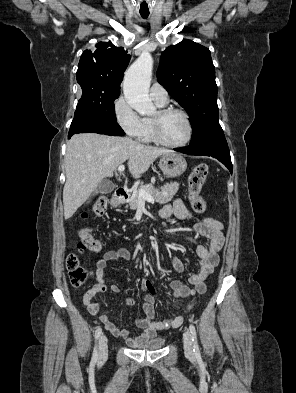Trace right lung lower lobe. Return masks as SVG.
Returning <instances> with one entry per match:
<instances>
[{
	"label": "right lung lower lobe",
	"mask_w": 296,
	"mask_h": 393,
	"mask_svg": "<svg viewBox=\"0 0 296 393\" xmlns=\"http://www.w3.org/2000/svg\"><path fill=\"white\" fill-rule=\"evenodd\" d=\"M99 133L111 136L125 135L116 121L107 120L97 114L75 111L68 138L78 133Z\"/></svg>",
	"instance_id": "1"
}]
</instances>
